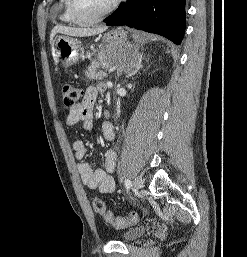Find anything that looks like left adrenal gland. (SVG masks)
<instances>
[{"mask_svg":"<svg viewBox=\"0 0 247 257\" xmlns=\"http://www.w3.org/2000/svg\"><path fill=\"white\" fill-rule=\"evenodd\" d=\"M141 61H142V55H140L138 65L136 66L135 70L132 71V72H129L128 75H127V78H128V77H131V76H133V75H135V74L138 72V70H139L140 68H142Z\"/></svg>","mask_w":247,"mask_h":257,"instance_id":"left-adrenal-gland-1","label":"left adrenal gland"}]
</instances>
